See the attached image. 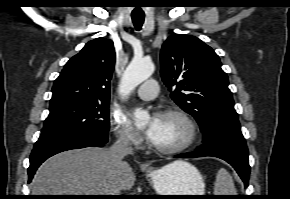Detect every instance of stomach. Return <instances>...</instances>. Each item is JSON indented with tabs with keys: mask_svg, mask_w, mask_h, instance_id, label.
Masks as SVG:
<instances>
[{
	"mask_svg": "<svg viewBox=\"0 0 290 199\" xmlns=\"http://www.w3.org/2000/svg\"><path fill=\"white\" fill-rule=\"evenodd\" d=\"M147 172V177L159 195H204L205 183L200 172L191 164L176 161ZM172 198L195 199L198 196H175Z\"/></svg>",
	"mask_w": 290,
	"mask_h": 199,
	"instance_id": "obj_1",
	"label": "stomach"
}]
</instances>
